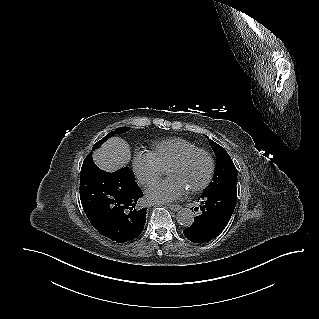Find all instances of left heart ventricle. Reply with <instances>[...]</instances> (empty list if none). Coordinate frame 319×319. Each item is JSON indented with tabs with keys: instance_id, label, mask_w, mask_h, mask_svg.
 Returning <instances> with one entry per match:
<instances>
[{
	"instance_id": "obj_1",
	"label": "left heart ventricle",
	"mask_w": 319,
	"mask_h": 319,
	"mask_svg": "<svg viewBox=\"0 0 319 319\" xmlns=\"http://www.w3.org/2000/svg\"><path fill=\"white\" fill-rule=\"evenodd\" d=\"M208 169L207 158L202 154H198L191 157L183 165L170 169L167 174L169 177L180 180L190 190L204 181Z\"/></svg>"
}]
</instances>
